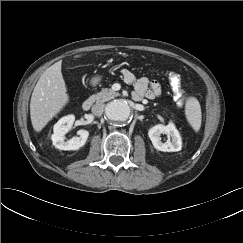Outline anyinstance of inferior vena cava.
Returning a JSON list of instances; mask_svg holds the SVG:
<instances>
[{
	"mask_svg": "<svg viewBox=\"0 0 243 243\" xmlns=\"http://www.w3.org/2000/svg\"><path fill=\"white\" fill-rule=\"evenodd\" d=\"M92 113L95 116H101L104 112V104L102 103H97L95 105L92 106Z\"/></svg>",
	"mask_w": 243,
	"mask_h": 243,
	"instance_id": "1",
	"label": "inferior vena cava"
}]
</instances>
